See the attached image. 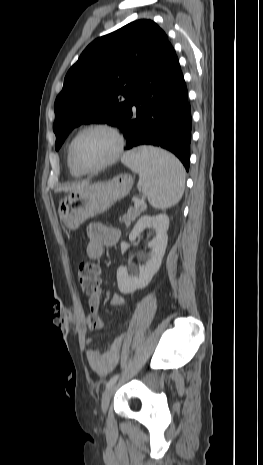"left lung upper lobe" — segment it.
I'll return each instance as SVG.
<instances>
[{
	"instance_id": "1",
	"label": "left lung upper lobe",
	"mask_w": 263,
	"mask_h": 465,
	"mask_svg": "<svg viewBox=\"0 0 263 465\" xmlns=\"http://www.w3.org/2000/svg\"><path fill=\"white\" fill-rule=\"evenodd\" d=\"M167 43L165 32L156 23L142 19L89 44L67 72L54 104L55 149L83 123L120 127L134 85Z\"/></svg>"
}]
</instances>
